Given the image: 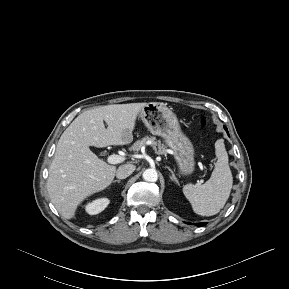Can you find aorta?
<instances>
[{
	"label": "aorta",
	"mask_w": 289,
	"mask_h": 289,
	"mask_svg": "<svg viewBox=\"0 0 289 289\" xmlns=\"http://www.w3.org/2000/svg\"><path fill=\"white\" fill-rule=\"evenodd\" d=\"M143 178L148 182H156L158 180V174L155 169H147L143 173Z\"/></svg>",
	"instance_id": "aorta-1"
}]
</instances>
